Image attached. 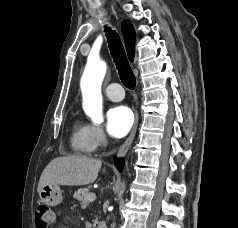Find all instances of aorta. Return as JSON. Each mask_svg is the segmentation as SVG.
<instances>
[{
    "mask_svg": "<svg viewBox=\"0 0 238 228\" xmlns=\"http://www.w3.org/2000/svg\"><path fill=\"white\" fill-rule=\"evenodd\" d=\"M106 63L100 60H88L83 72L80 87L83 96V109L91 120L103 122L101 85L106 74Z\"/></svg>",
    "mask_w": 238,
    "mask_h": 228,
    "instance_id": "obj_1",
    "label": "aorta"
}]
</instances>
